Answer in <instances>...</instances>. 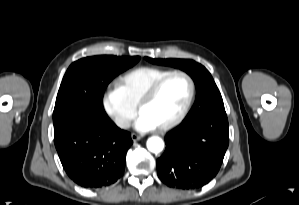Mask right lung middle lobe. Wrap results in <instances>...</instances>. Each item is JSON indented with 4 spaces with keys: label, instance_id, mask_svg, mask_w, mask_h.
<instances>
[{
    "label": "right lung middle lobe",
    "instance_id": "obj_1",
    "mask_svg": "<svg viewBox=\"0 0 299 205\" xmlns=\"http://www.w3.org/2000/svg\"><path fill=\"white\" fill-rule=\"evenodd\" d=\"M140 57L93 56L70 65L60 85L53 112L54 130L84 113L106 116L102 98L106 86Z\"/></svg>",
    "mask_w": 299,
    "mask_h": 205
}]
</instances>
